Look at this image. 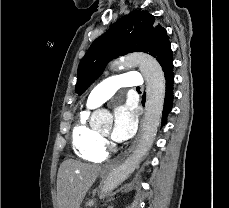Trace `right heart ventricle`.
Here are the masks:
<instances>
[{"instance_id":"right-heart-ventricle-1","label":"right heart ventricle","mask_w":229,"mask_h":208,"mask_svg":"<svg viewBox=\"0 0 229 208\" xmlns=\"http://www.w3.org/2000/svg\"><path fill=\"white\" fill-rule=\"evenodd\" d=\"M90 108L78 113L71 131V147L77 158L86 162H98L103 159L100 134L88 123Z\"/></svg>"}]
</instances>
